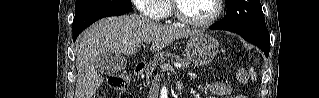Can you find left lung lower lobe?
<instances>
[{"mask_svg":"<svg viewBox=\"0 0 319 98\" xmlns=\"http://www.w3.org/2000/svg\"><path fill=\"white\" fill-rule=\"evenodd\" d=\"M210 28L213 30H221L215 24L210 26ZM240 36L243 37L246 41L258 46L264 52L265 56L268 57L269 51H270V37L265 38V37H259V36H246V35H240Z\"/></svg>","mask_w":319,"mask_h":98,"instance_id":"1","label":"left lung lower lobe"}]
</instances>
